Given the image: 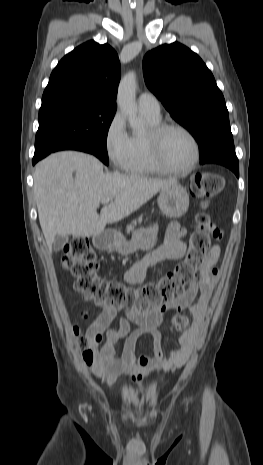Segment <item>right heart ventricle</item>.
I'll list each match as a JSON object with an SVG mask.
<instances>
[{"mask_svg": "<svg viewBox=\"0 0 263 465\" xmlns=\"http://www.w3.org/2000/svg\"><path fill=\"white\" fill-rule=\"evenodd\" d=\"M151 127L161 123V118L145 115ZM125 170L133 174H160L164 173L152 159L146 134H133L130 136V154Z\"/></svg>", "mask_w": 263, "mask_h": 465, "instance_id": "1", "label": "right heart ventricle"}]
</instances>
